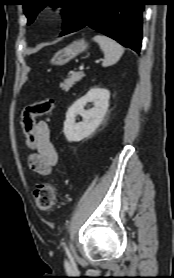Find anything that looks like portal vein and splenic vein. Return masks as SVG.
<instances>
[{
	"mask_svg": "<svg viewBox=\"0 0 174 278\" xmlns=\"http://www.w3.org/2000/svg\"><path fill=\"white\" fill-rule=\"evenodd\" d=\"M98 62H100V59H99V60H96V63H98ZM79 70H80V71L84 70V66H80V67H79Z\"/></svg>",
	"mask_w": 174,
	"mask_h": 278,
	"instance_id": "18ae733b",
	"label": "portal vein and splenic vein"
}]
</instances>
